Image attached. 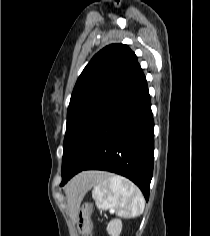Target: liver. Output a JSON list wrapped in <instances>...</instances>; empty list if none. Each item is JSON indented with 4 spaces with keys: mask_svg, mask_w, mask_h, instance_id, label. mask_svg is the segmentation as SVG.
Wrapping results in <instances>:
<instances>
[{
    "mask_svg": "<svg viewBox=\"0 0 210 236\" xmlns=\"http://www.w3.org/2000/svg\"><path fill=\"white\" fill-rule=\"evenodd\" d=\"M104 173L98 171H86L75 176L66 186V195L71 211L81 201L84 194L91 188L92 183Z\"/></svg>",
    "mask_w": 210,
    "mask_h": 236,
    "instance_id": "1",
    "label": "liver"
}]
</instances>
